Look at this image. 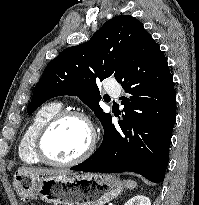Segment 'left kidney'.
Masks as SVG:
<instances>
[{"label": "left kidney", "instance_id": "left-kidney-1", "mask_svg": "<svg viewBox=\"0 0 199 205\" xmlns=\"http://www.w3.org/2000/svg\"><path fill=\"white\" fill-rule=\"evenodd\" d=\"M124 205H151V201L146 196L136 195L128 200Z\"/></svg>", "mask_w": 199, "mask_h": 205}]
</instances>
